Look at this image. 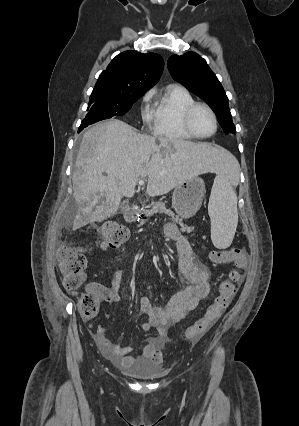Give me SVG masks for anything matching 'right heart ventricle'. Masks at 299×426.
Wrapping results in <instances>:
<instances>
[{"label": "right heart ventricle", "mask_w": 299, "mask_h": 426, "mask_svg": "<svg viewBox=\"0 0 299 426\" xmlns=\"http://www.w3.org/2000/svg\"><path fill=\"white\" fill-rule=\"evenodd\" d=\"M195 103L191 93L183 86L170 84L158 94L153 111V133L167 140H192L183 126L185 110Z\"/></svg>", "instance_id": "1"}]
</instances>
